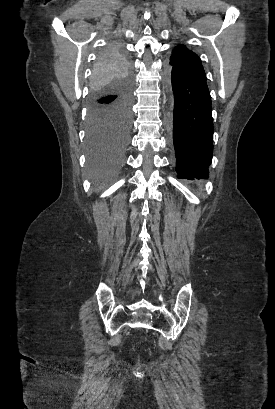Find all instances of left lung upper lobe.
Masks as SVG:
<instances>
[{
	"mask_svg": "<svg viewBox=\"0 0 275 409\" xmlns=\"http://www.w3.org/2000/svg\"><path fill=\"white\" fill-rule=\"evenodd\" d=\"M169 64L171 67L206 78L199 56L185 45L179 44L173 49Z\"/></svg>",
	"mask_w": 275,
	"mask_h": 409,
	"instance_id": "left-lung-upper-lobe-1",
	"label": "left lung upper lobe"
}]
</instances>
